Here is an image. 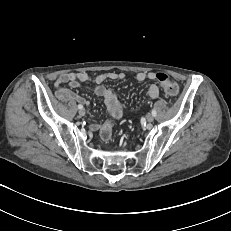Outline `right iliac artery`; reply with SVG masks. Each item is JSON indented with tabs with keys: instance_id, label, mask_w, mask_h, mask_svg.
<instances>
[{
	"instance_id": "right-iliac-artery-1",
	"label": "right iliac artery",
	"mask_w": 231,
	"mask_h": 231,
	"mask_svg": "<svg viewBox=\"0 0 231 231\" xmlns=\"http://www.w3.org/2000/svg\"><path fill=\"white\" fill-rule=\"evenodd\" d=\"M83 106L81 104L78 105V109H82Z\"/></svg>"
}]
</instances>
